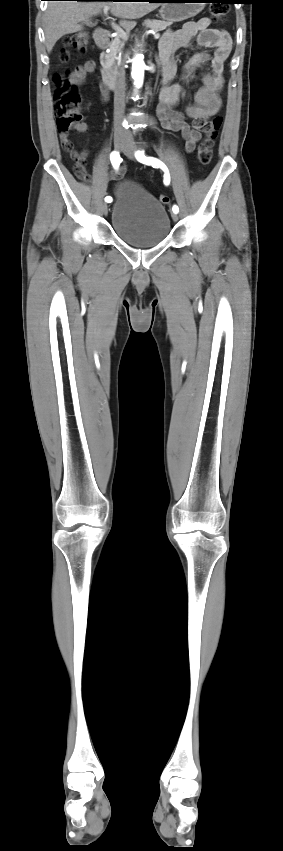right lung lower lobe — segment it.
<instances>
[{"label":"right lung lower lobe","mask_w":283,"mask_h":851,"mask_svg":"<svg viewBox=\"0 0 283 851\" xmlns=\"http://www.w3.org/2000/svg\"><path fill=\"white\" fill-rule=\"evenodd\" d=\"M77 1H96V0H77ZM105 1H120V0H105Z\"/></svg>","instance_id":"right-lung-lower-lobe-1"}]
</instances>
